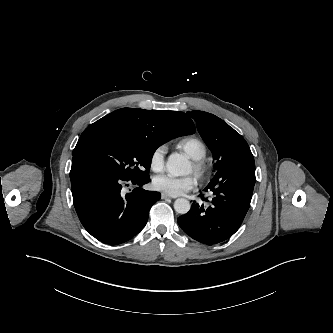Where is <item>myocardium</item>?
Segmentation results:
<instances>
[{
	"mask_svg": "<svg viewBox=\"0 0 333 333\" xmlns=\"http://www.w3.org/2000/svg\"><path fill=\"white\" fill-rule=\"evenodd\" d=\"M192 168L194 175L199 179L202 180L206 177L208 173V164L204 158L202 159H193L192 160Z\"/></svg>",
	"mask_w": 333,
	"mask_h": 333,
	"instance_id": "myocardium-1",
	"label": "myocardium"
}]
</instances>
